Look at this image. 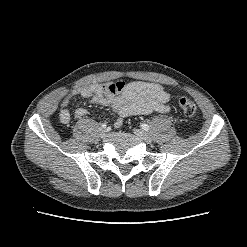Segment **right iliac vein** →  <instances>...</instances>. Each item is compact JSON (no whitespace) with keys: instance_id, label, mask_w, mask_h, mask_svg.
Returning <instances> with one entry per match:
<instances>
[{"instance_id":"right-iliac-vein-1","label":"right iliac vein","mask_w":247,"mask_h":247,"mask_svg":"<svg viewBox=\"0 0 247 247\" xmlns=\"http://www.w3.org/2000/svg\"><path fill=\"white\" fill-rule=\"evenodd\" d=\"M99 133L100 136L103 138L107 134V130L105 128H100Z\"/></svg>"}]
</instances>
